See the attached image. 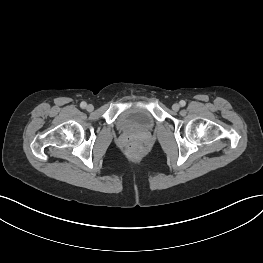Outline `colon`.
Listing matches in <instances>:
<instances>
[{"label":"colon","mask_w":263,"mask_h":263,"mask_svg":"<svg viewBox=\"0 0 263 263\" xmlns=\"http://www.w3.org/2000/svg\"><path fill=\"white\" fill-rule=\"evenodd\" d=\"M125 150L127 155L132 159H137L142 154V146L135 141H130L126 144Z\"/></svg>","instance_id":"colon-1"}]
</instances>
